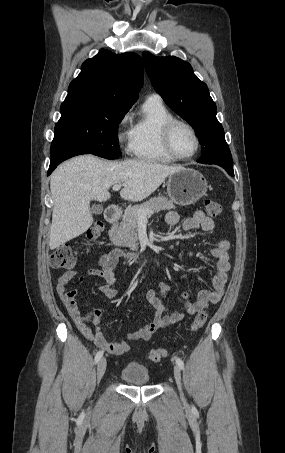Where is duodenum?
Listing matches in <instances>:
<instances>
[{"mask_svg": "<svg viewBox=\"0 0 285 453\" xmlns=\"http://www.w3.org/2000/svg\"><path fill=\"white\" fill-rule=\"evenodd\" d=\"M120 218V210L118 207L115 206H109L106 211H105V219L108 223L110 224H116ZM126 257L128 258H135L138 259L139 261H149V259L141 258L135 254L132 253H126Z\"/></svg>", "mask_w": 285, "mask_h": 453, "instance_id": "duodenum-1", "label": "duodenum"}]
</instances>
